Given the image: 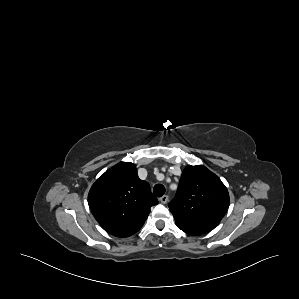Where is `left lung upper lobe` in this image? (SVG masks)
Wrapping results in <instances>:
<instances>
[{
  "label": "left lung upper lobe",
  "instance_id": "obj_1",
  "mask_svg": "<svg viewBox=\"0 0 299 299\" xmlns=\"http://www.w3.org/2000/svg\"><path fill=\"white\" fill-rule=\"evenodd\" d=\"M229 207V194L222 181L205 166H187L169 204L178 228L190 235L210 232Z\"/></svg>",
  "mask_w": 299,
  "mask_h": 299
}]
</instances>
